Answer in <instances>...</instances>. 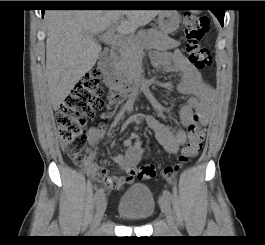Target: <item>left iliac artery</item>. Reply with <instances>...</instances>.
I'll list each match as a JSON object with an SVG mask.
<instances>
[{
    "instance_id": "obj_1",
    "label": "left iliac artery",
    "mask_w": 265,
    "mask_h": 245,
    "mask_svg": "<svg viewBox=\"0 0 265 245\" xmlns=\"http://www.w3.org/2000/svg\"><path fill=\"white\" fill-rule=\"evenodd\" d=\"M163 195L167 198V199H169V200H172V195H171V193H170V191L169 190H163Z\"/></svg>"
}]
</instances>
